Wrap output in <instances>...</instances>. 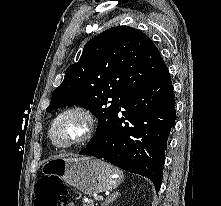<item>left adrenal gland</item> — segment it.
I'll return each mask as SVG.
<instances>
[{
    "label": "left adrenal gland",
    "mask_w": 221,
    "mask_h": 206,
    "mask_svg": "<svg viewBox=\"0 0 221 206\" xmlns=\"http://www.w3.org/2000/svg\"><path fill=\"white\" fill-rule=\"evenodd\" d=\"M121 194L119 192H114L110 196H108L105 201L102 203L101 206H107L108 204L112 203L117 197Z\"/></svg>",
    "instance_id": "obj_1"
}]
</instances>
